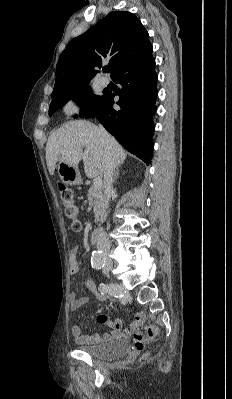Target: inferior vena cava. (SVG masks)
<instances>
[{"instance_id": "inferior-vena-cava-1", "label": "inferior vena cava", "mask_w": 232, "mask_h": 399, "mask_svg": "<svg viewBox=\"0 0 232 399\" xmlns=\"http://www.w3.org/2000/svg\"><path fill=\"white\" fill-rule=\"evenodd\" d=\"M100 132L102 134V138L106 140V142H110L109 140V134L105 132L104 128L100 126ZM116 168V164L114 160H109L107 164V168H105L104 172V188H105V194L107 198H110V194L113 192V186H112V176L113 172ZM106 235H102V237H99L98 239V249L102 250V252L105 253L104 255V261L107 263L111 262V257L108 255V252H111V241H104Z\"/></svg>"}]
</instances>
